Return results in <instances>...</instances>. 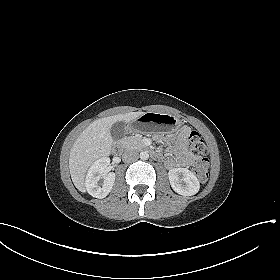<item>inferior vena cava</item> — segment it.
<instances>
[{
	"label": "inferior vena cava",
	"mask_w": 280,
	"mask_h": 280,
	"mask_svg": "<svg viewBox=\"0 0 280 280\" xmlns=\"http://www.w3.org/2000/svg\"><path fill=\"white\" fill-rule=\"evenodd\" d=\"M139 157V154L137 151H134V150H128V151H125L122 155V160L126 163L128 162H134L138 159Z\"/></svg>",
	"instance_id": "602c4592"
}]
</instances>
